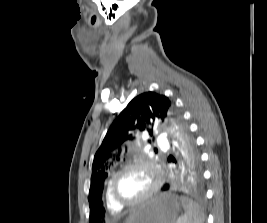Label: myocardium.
Instances as JSON below:
<instances>
[{
	"mask_svg": "<svg viewBox=\"0 0 267 223\" xmlns=\"http://www.w3.org/2000/svg\"><path fill=\"white\" fill-rule=\"evenodd\" d=\"M134 166H141L149 169L153 176H154V183L152 187L149 189L148 192H146L143 196L140 198L134 200V201H124L121 200L115 192V182L116 179L120 174H122L125 170L134 167ZM163 182V172L157 166L153 161L146 159V158H134L129 160L127 163H125L121 168H119L111 177L109 181V191L111 198L113 201L122 208H132L136 207L140 204L145 203L149 199H151L156 193L160 190Z\"/></svg>",
	"mask_w": 267,
	"mask_h": 223,
	"instance_id": "myocardium-1",
	"label": "myocardium"
}]
</instances>
